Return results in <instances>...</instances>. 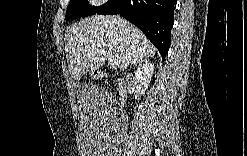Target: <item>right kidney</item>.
I'll use <instances>...</instances> for the list:
<instances>
[{"label":"right kidney","instance_id":"right-kidney-1","mask_svg":"<svg viewBox=\"0 0 247 156\" xmlns=\"http://www.w3.org/2000/svg\"><path fill=\"white\" fill-rule=\"evenodd\" d=\"M153 72L154 66L149 62L144 63L137 69L133 77V84L139 92L144 93L148 88Z\"/></svg>","mask_w":247,"mask_h":156}]
</instances>
